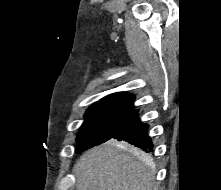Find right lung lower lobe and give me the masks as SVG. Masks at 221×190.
Returning <instances> with one entry per match:
<instances>
[{
  "mask_svg": "<svg viewBox=\"0 0 221 190\" xmlns=\"http://www.w3.org/2000/svg\"><path fill=\"white\" fill-rule=\"evenodd\" d=\"M148 127V124L140 121L137 113L113 138L150 152L153 150V144L147 133Z\"/></svg>",
  "mask_w": 221,
  "mask_h": 190,
  "instance_id": "98d812e1",
  "label": "right lung lower lobe"
}]
</instances>
